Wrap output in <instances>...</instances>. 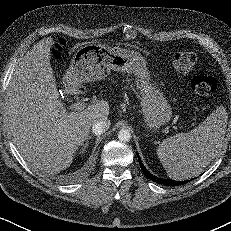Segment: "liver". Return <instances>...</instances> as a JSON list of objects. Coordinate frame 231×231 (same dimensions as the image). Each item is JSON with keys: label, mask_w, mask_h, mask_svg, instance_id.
<instances>
[{"label": "liver", "mask_w": 231, "mask_h": 231, "mask_svg": "<svg viewBox=\"0 0 231 231\" xmlns=\"http://www.w3.org/2000/svg\"><path fill=\"white\" fill-rule=\"evenodd\" d=\"M53 43L47 38L28 51L15 66L6 97L8 127L17 149L32 167L46 173L69 167L93 124L109 115L106 101L67 111L50 64Z\"/></svg>", "instance_id": "1"}]
</instances>
